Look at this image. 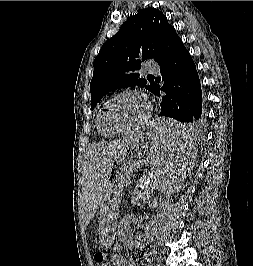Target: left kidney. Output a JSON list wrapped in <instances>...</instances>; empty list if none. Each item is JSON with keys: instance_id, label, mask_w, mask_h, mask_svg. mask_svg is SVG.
<instances>
[{"instance_id": "left-kidney-1", "label": "left kidney", "mask_w": 253, "mask_h": 266, "mask_svg": "<svg viewBox=\"0 0 253 266\" xmlns=\"http://www.w3.org/2000/svg\"><path fill=\"white\" fill-rule=\"evenodd\" d=\"M138 218L135 215H127L119 224L118 235L120 241L128 247H140L151 238L153 231L147 229L145 233L134 234L130 229V225L136 223Z\"/></svg>"}]
</instances>
